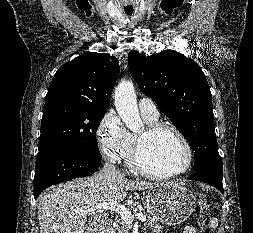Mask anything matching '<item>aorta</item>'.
<instances>
[{"label":"aorta","instance_id":"1","mask_svg":"<svg viewBox=\"0 0 253 233\" xmlns=\"http://www.w3.org/2000/svg\"><path fill=\"white\" fill-rule=\"evenodd\" d=\"M114 98L116 110L126 127L132 132L142 130L143 122L138 112L133 83L130 81H121L115 89Z\"/></svg>","mask_w":253,"mask_h":233}]
</instances>
